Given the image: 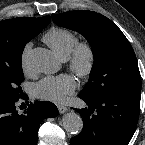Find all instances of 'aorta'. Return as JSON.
Wrapping results in <instances>:
<instances>
[{"mask_svg": "<svg viewBox=\"0 0 145 145\" xmlns=\"http://www.w3.org/2000/svg\"><path fill=\"white\" fill-rule=\"evenodd\" d=\"M27 61L35 70L44 73H50L56 67V60L51 52L43 48L33 49L29 53ZM63 126L69 134L77 135L82 131L83 120L79 114L69 112L63 117Z\"/></svg>", "mask_w": 145, "mask_h": 145, "instance_id": "aorta-1", "label": "aorta"}]
</instances>
